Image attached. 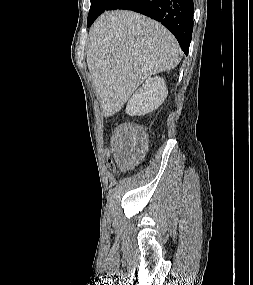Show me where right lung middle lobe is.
<instances>
[{"mask_svg": "<svg viewBox=\"0 0 253 285\" xmlns=\"http://www.w3.org/2000/svg\"><path fill=\"white\" fill-rule=\"evenodd\" d=\"M112 2L113 0H91L87 24L94 21L100 14H102Z\"/></svg>", "mask_w": 253, "mask_h": 285, "instance_id": "1", "label": "right lung middle lobe"}]
</instances>
